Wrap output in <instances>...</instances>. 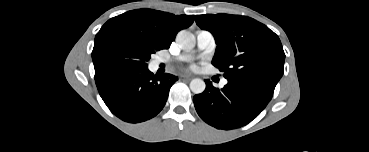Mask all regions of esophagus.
<instances>
[{"label": "esophagus", "instance_id": "1", "mask_svg": "<svg viewBox=\"0 0 369 152\" xmlns=\"http://www.w3.org/2000/svg\"><path fill=\"white\" fill-rule=\"evenodd\" d=\"M180 79L181 80H191L192 79V76L185 74V75H181L180 76Z\"/></svg>", "mask_w": 369, "mask_h": 152}]
</instances>
